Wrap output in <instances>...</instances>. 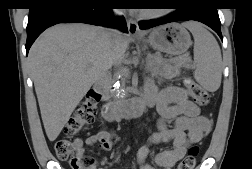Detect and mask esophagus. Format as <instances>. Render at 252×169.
Returning a JSON list of instances; mask_svg holds the SVG:
<instances>
[{"instance_id": "obj_1", "label": "esophagus", "mask_w": 252, "mask_h": 169, "mask_svg": "<svg viewBox=\"0 0 252 169\" xmlns=\"http://www.w3.org/2000/svg\"><path fill=\"white\" fill-rule=\"evenodd\" d=\"M127 27H128V32L132 36H137L140 35L138 23L133 20V19H128L127 20Z\"/></svg>"}]
</instances>
